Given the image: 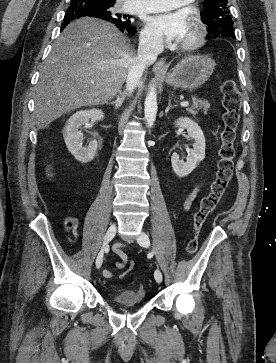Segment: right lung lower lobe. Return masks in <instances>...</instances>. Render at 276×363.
Masks as SVG:
<instances>
[{"instance_id":"obj_1","label":"right lung lower lobe","mask_w":276,"mask_h":363,"mask_svg":"<svg viewBox=\"0 0 276 363\" xmlns=\"http://www.w3.org/2000/svg\"><path fill=\"white\" fill-rule=\"evenodd\" d=\"M80 17L100 18L99 15L92 13L91 11H87V10H75L73 12H67L64 17V21L61 25V30H63L65 28V26H67L70 23V21L80 18ZM107 21H110V20H107ZM111 22L115 23L117 28L122 32L127 31V32H129V34H134L136 31V29L130 25V22H122V23H118L116 21H111Z\"/></svg>"}]
</instances>
